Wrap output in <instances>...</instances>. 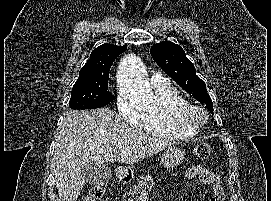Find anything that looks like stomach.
<instances>
[{"instance_id": "stomach-1", "label": "stomach", "mask_w": 271, "mask_h": 201, "mask_svg": "<svg viewBox=\"0 0 271 201\" xmlns=\"http://www.w3.org/2000/svg\"><path fill=\"white\" fill-rule=\"evenodd\" d=\"M185 151L177 146H171L162 153L161 164L165 168H173L181 164L184 160ZM119 172L125 177L130 178L132 171L126 167H120Z\"/></svg>"}]
</instances>
